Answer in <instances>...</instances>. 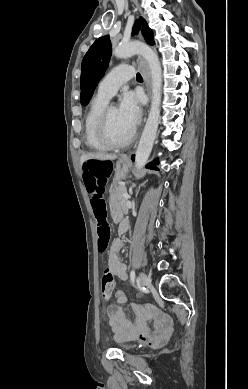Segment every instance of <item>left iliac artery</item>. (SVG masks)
Returning a JSON list of instances; mask_svg holds the SVG:
<instances>
[{
    "label": "left iliac artery",
    "mask_w": 248,
    "mask_h": 389,
    "mask_svg": "<svg viewBox=\"0 0 248 389\" xmlns=\"http://www.w3.org/2000/svg\"><path fill=\"white\" fill-rule=\"evenodd\" d=\"M130 278H131V282L134 284V282H135V271L134 270L131 271Z\"/></svg>",
    "instance_id": "obj_1"
}]
</instances>
